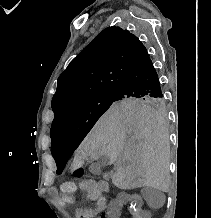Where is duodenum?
<instances>
[{"label":"duodenum","instance_id":"410a0bca","mask_svg":"<svg viewBox=\"0 0 211 218\" xmlns=\"http://www.w3.org/2000/svg\"><path fill=\"white\" fill-rule=\"evenodd\" d=\"M99 186L103 191H107L108 189V185L106 182H103V181L99 182Z\"/></svg>","mask_w":211,"mask_h":218}]
</instances>
